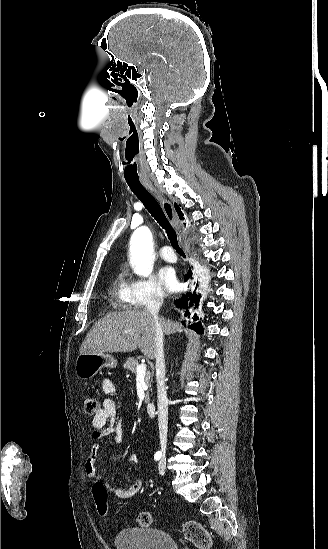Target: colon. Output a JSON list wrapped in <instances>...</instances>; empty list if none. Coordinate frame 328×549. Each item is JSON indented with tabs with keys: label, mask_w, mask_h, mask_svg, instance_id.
<instances>
[{
	"label": "colon",
	"mask_w": 328,
	"mask_h": 549,
	"mask_svg": "<svg viewBox=\"0 0 328 549\" xmlns=\"http://www.w3.org/2000/svg\"><path fill=\"white\" fill-rule=\"evenodd\" d=\"M84 410L89 415H96L99 412L98 401L91 396L84 399ZM93 498L97 512L100 516L108 515L107 489L101 481H95L92 487ZM139 526L147 528L152 524V514L148 511L140 512L137 517ZM184 537L201 549H208L212 544L210 533L196 522H187L183 527Z\"/></svg>",
	"instance_id": "5ec220e1"
}]
</instances>
